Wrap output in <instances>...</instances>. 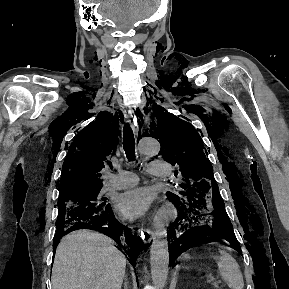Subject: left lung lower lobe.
I'll use <instances>...</instances> for the list:
<instances>
[{
	"label": "left lung lower lobe",
	"mask_w": 289,
	"mask_h": 289,
	"mask_svg": "<svg viewBox=\"0 0 289 289\" xmlns=\"http://www.w3.org/2000/svg\"><path fill=\"white\" fill-rule=\"evenodd\" d=\"M169 200L179 211L177 219L170 225L167 233L171 262L192 247V240L205 236L224 238L240 252L224 203L218 195L213 193L211 197L206 198L193 193L183 199Z\"/></svg>",
	"instance_id": "0a47b994"
}]
</instances>
